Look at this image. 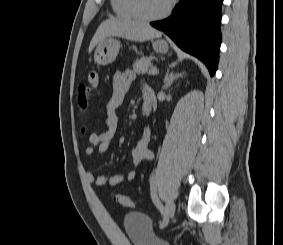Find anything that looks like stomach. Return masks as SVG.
<instances>
[{"mask_svg": "<svg viewBox=\"0 0 283 245\" xmlns=\"http://www.w3.org/2000/svg\"><path fill=\"white\" fill-rule=\"evenodd\" d=\"M121 43L114 38H106L98 45L94 53V61L98 65H108L112 63L120 50ZM153 49L159 53H166L168 51V44L164 40H157L153 42Z\"/></svg>", "mask_w": 283, "mask_h": 245, "instance_id": "1", "label": "stomach"}]
</instances>
